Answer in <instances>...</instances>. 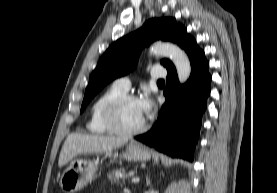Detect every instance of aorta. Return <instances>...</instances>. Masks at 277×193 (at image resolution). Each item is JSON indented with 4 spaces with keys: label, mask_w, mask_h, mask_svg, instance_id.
I'll return each instance as SVG.
<instances>
[{
    "label": "aorta",
    "mask_w": 277,
    "mask_h": 193,
    "mask_svg": "<svg viewBox=\"0 0 277 193\" xmlns=\"http://www.w3.org/2000/svg\"><path fill=\"white\" fill-rule=\"evenodd\" d=\"M150 54L169 57L176 67L180 83H185L191 74V64L186 53L172 43H155L150 47Z\"/></svg>",
    "instance_id": "1"
}]
</instances>
